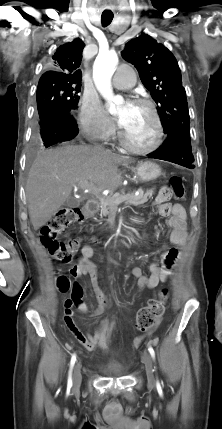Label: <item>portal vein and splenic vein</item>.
Here are the masks:
<instances>
[{
    "label": "portal vein and splenic vein",
    "instance_id": "obj_1",
    "mask_svg": "<svg viewBox=\"0 0 222 429\" xmlns=\"http://www.w3.org/2000/svg\"><path fill=\"white\" fill-rule=\"evenodd\" d=\"M79 187L83 190H85L86 192L99 197L100 193L102 192V189H99L97 187H95L93 184H90L88 181H82L79 183ZM129 197L128 196H122L119 199H117V204L127 200Z\"/></svg>",
    "mask_w": 222,
    "mask_h": 429
}]
</instances>
